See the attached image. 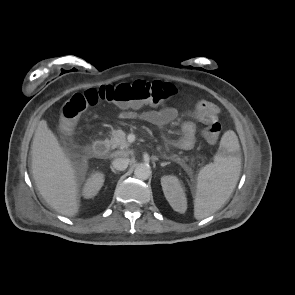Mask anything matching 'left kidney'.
<instances>
[{
    "label": "left kidney",
    "mask_w": 295,
    "mask_h": 295,
    "mask_svg": "<svg viewBox=\"0 0 295 295\" xmlns=\"http://www.w3.org/2000/svg\"><path fill=\"white\" fill-rule=\"evenodd\" d=\"M161 185L165 198L171 207L179 213H184L187 209V201L179 179L171 175L163 176Z\"/></svg>",
    "instance_id": "obj_1"
}]
</instances>
